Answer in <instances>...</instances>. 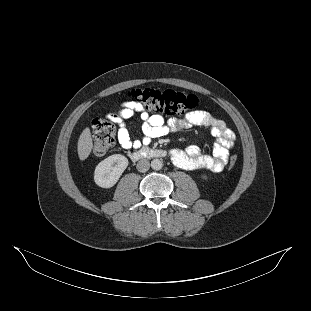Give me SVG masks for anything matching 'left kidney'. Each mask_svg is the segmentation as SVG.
Here are the masks:
<instances>
[{
    "label": "left kidney",
    "instance_id": "obj_1",
    "mask_svg": "<svg viewBox=\"0 0 311 311\" xmlns=\"http://www.w3.org/2000/svg\"><path fill=\"white\" fill-rule=\"evenodd\" d=\"M202 179H205V180H206V179H207V176L203 175V176H202Z\"/></svg>",
    "mask_w": 311,
    "mask_h": 311
}]
</instances>
